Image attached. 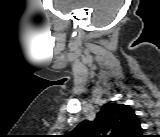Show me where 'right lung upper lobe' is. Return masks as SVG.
I'll list each match as a JSON object with an SVG mask.
<instances>
[{
	"label": "right lung upper lobe",
	"instance_id": "obj_1",
	"mask_svg": "<svg viewBox=\"0 0 160 137\" xmlns=\"http://www.w3.org/2000/svg\"><path fill=\"white\" fill-rule=\"evenodd\" d=\"M72 132L80 137H138L142 128L133 109L123 104L107 103L94 121L84 120Z\"/></svg>",
	"mask_w": 160,
	"mask_h": 137
}]
</instances>
